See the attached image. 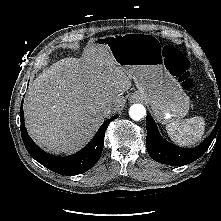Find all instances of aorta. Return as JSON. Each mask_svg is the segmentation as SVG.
Here are the masks:
<instances>
[{"label":"aorta","mask_w":221,"mask_h":221,"mask_svg":"<svg viewBox=\"0 0 221 221\" xmlns=\"http://www.w3.org/2000/svg\"><path fill=\"white\" fill-rule=\"evenodd\" d=\"M129 115L133 120H140L146 115V109L142 104H133L130 107Z\"/></svg>","instance_id":"aorta-1"}]
</instances>
